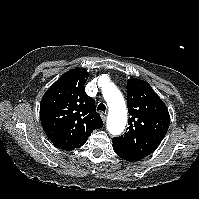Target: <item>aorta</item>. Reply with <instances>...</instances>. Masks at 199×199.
Returning a JSON list of instances; mask_svg holds the SVG:
<instances>
[{"mask_svg": "<svg viewBox=\"0 0 199 199\" xmlns=\"http://www.w3.org/2000/svg\"><path fill=\"white\" fill-rule=\"evenodd\" d=\"M103 95L109 107L107 130L112 135H119L127 122V110L121 92L114 86L103 87Z\"/></svg>", "mask_w": 199, "mask_h": 199, "instance_id": "1", "label": "aorta"}]
</instances>
